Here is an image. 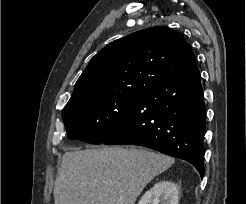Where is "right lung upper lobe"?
Segmentation results:
<instances>
[{
  "label": "right lung upper lobe",
  "instance_id": "cb5924a9",
  "mask_svg": "<svg viewBox=\"0 0 246 204\" xmlns=\"http://www.w3.org/2000/svg\"><path fill=\"white\" fill-rule=\"evenodd\" d=\"M194 63L190 45L177 31L164 26L137 31L90 60L65 107L104 95L142 94Z\"/></svg>",
  "mask_w": 246,
  "mask_h": 204
}]
</instances>
